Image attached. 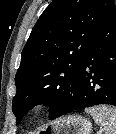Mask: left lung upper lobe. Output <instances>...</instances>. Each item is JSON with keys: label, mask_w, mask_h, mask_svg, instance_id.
Returning a JSON list of instances; mask_svg holds the SVG:
<instances>
[{"label": "left lung upper lobe", "mask_w": 116, "mask_h": 134, "mask_svg": "<svg viewBox=\"0 0 116 134\" xmlns=\"http://www.w3.org/2000/svg\"><path fill=\"white\" fill-rule=\"evenodd\" d=\"M113 0H53L33 27L16 73L12 111L17 124L37 104L50 118L72 97L86 53L114 7Z\"/></svg>", "instance_id": "1"}]
</instances>
